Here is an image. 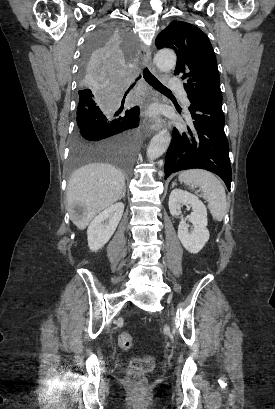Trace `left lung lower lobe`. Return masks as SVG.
<instances>
[{"instance_id": "obj_1", "label": "left lung lower lobe", "mask_w": 275, "mask_h": 409, "mask_svg": "<svg viewBox=\"0 0 275 409\" xmlns=\"http://www.w3.org/2000/svg\"><path fill=\"white\" fill-rule=\"evenodd\" d=\"M190 103L193 125L186 131L174 128L166 153L165 179L177 171L200 168L220 176L230 190L232 172L222 105L200 100Z\"/></svg>"}]
</instances>
